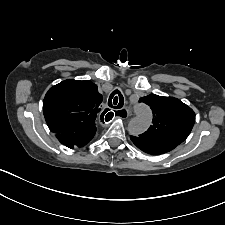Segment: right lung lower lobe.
Here are the masks:
<instances>
[{"label":"right lung lower lobe","instance_id":"98d812e1","mask_svg":"<svg viewBox=\"0 0 225 225\" xmlns=\"http://www.w3.org/2000/svg\"><path fill=\"white\" fill-rule=\"evenodd\" d=\"M55 135L60 143L68 148L83 147L94 137V135H76L73 133H55Z\"/></svg>","mask_w":225,"mask_h":225}]
</instances>
